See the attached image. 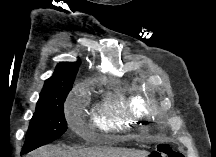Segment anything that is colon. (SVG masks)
Segmentation results:
<instances>
[{"label":"colon","mask_w":216,"mask_h":157,"mask_svg":"<svg viewBox=\"0 0 216 157\" xmlns=\"http://www.w3.org/2000/svg\"><path fill=\"white\" fill-rule=\"evenodd\" d=\"M149 157H183V155L167 144H160L150 153Z\"/></svg>","instance_id":"colon-1"}]
</instances>
